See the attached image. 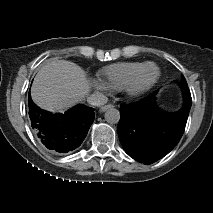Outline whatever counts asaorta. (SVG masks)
<instances>
[{"label": "aorta", "instance_id": "762f6f07", "mask_svg": "<svg viewBox=\"0 0 213 213\" xmlns=\"http://www.w3.org/2000/svg\"><path fill=\"white\" fill-rule=\"evenodd\" d=\"M104 118L109 124H117L120 120V112L114 107H109L105 111Z\"/></svg>", "mask_w": 213, "mask_h": 213}]
</instances>
